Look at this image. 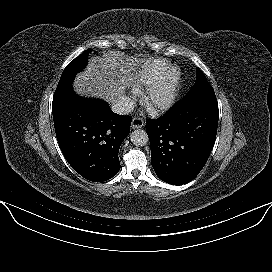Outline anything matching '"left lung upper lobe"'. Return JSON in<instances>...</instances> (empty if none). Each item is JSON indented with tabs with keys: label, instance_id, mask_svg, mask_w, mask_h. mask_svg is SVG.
Segmentation results:
<instances>
[{
	"label": "left lung upper lobe",
	"instance_id": "5c2ea615",
	"mask_svg": "<svg viewBox=\"0 0 272 272\" xmlns=\"http://www.w3.org/2000/svg\"><path fill=\"white\" fill-rule=\"evenodd\" d=\"M214 95L215 93L212 86L209 84L202 71L199 68H197L196 82L182 100L187 101Z\"/></svg>",
	"mask_w": 272,
	"mask_h": 272
}]
</instances>
